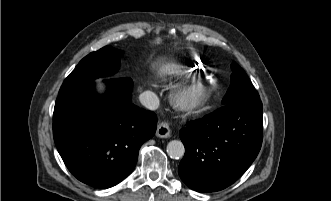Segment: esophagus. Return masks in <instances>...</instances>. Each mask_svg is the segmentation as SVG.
I'll use <instances>...</instances> for the list:
<instances>
[{
	"instance_id": "1",
	"label": "esophagus",
	"mask_w": 331,
	"mask_h": 201,
	"mask_svg": "<svg viewBox=\"0 0 331 201\" xmlns=\"http://www.w3.org/2000/svg\"><path fill=\"white\" fill-rule=\"evenodd\" d=\"M171 130L167 122H161L156 130V136L160 138L170 137Z\"/></svg>"
}]
</instances>
